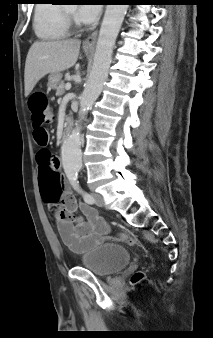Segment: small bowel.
I'll return each mask as SVG.
<instances>
[{"label":"small bowel","mask_w":213,"mask_h":338,"mask_svg":"<svg viewBox=\"0 0 213 338\" xmlns=\"http://www.w3.org/2000/svg\"><path fill=\"white\" fill-rule=\"evenodd\" d=\"M43 153L47 167L52 170V185L50 186L43 179L44 171L41 170L39 174L41 188L46 195H51L58 187H62L66 193L64 214L65 216L68 214L75 215L74 220L59 219V234L64 244L72 252L76 254L87 253L108 239V227L95 208L86 203H77L66 179L54 169L58 165L57 159L47 150H44ZM78 211H80L81 216L77 215Z\"/></svg>","instance_id":"1"}]
</instances>
